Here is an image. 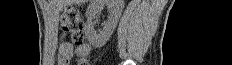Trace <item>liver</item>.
<instances>
[{"mask_svg":"<svg viewBox=\"0 0 232 65\" xmlns=\"http://www.w3.org/2000/svg\"><path fill=\"white\" fill-rule=\"evenodd\" d=\"M54 3L57 2V7L59 9H62L64 6L68 5V4H72V3H85L88 2V0H57V1H53Z\"/></svg>","mask_w":232,"mask_h":65,"instance_id":"obj_1","label":"liver"}]
</instances>
